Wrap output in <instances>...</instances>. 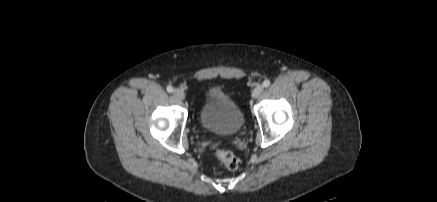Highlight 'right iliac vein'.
Here are the masks:
<instances>
[{
  "instance_id": "obj_1",
  "label": "right iliac vein",
  "mask_w": 437,
  "mask_h": 202,
  "mask_svg": "<svg viewBox=\"0 0 437 202\" xmlns=\"http://www.w3.org/2000/svg\"><path fill=\"white\" fill-rule=\"evenodd\" d=\"M173 95L175 96V98H177L178 100H184L185 99V93L183 90L180 89H175L173 92Z\"/></svg>"
}]
</instances>
